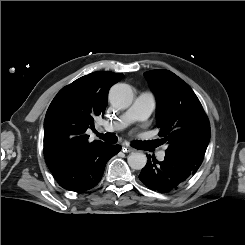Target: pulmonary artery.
<instances>
[{"mask_svg": "<svg viewBox=\"0 0 245 245\" xmlns=\"http://www.w3.org/2000/svg\"><path fill=\"white\" fill-rule=\"evenodd\" d=\"M155 107L154 97L150 92H144L135 98L132 106L120 117L119 121L104 124L107 131H121L135 121H146ZM165 153L159 152L157 158L163 160Z\"/></svg>", "mask_w": 245, "mask_h": 245, "instance_id": "e3ab8cb5", "label": "pulmonary artery"}]
</instances>
